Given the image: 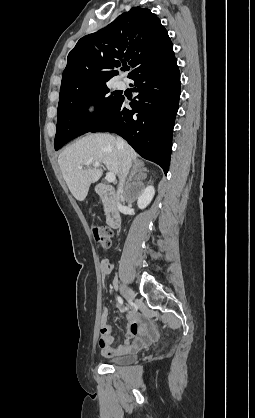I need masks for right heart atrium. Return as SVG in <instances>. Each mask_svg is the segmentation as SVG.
Wrapping results in <instances>:
<instances>
[{
  "mask_svg": "<svg viewBox=\"0 0 255 418\" xmlns=\"http://www.w3.org/2000/svg\"><path fill=\"white\" fill-rule=\"evenodd\" d=\"M98 110V103L95 100L89 101L85 106V113L88 116L94 115Z\"/></svg>",
  "mask_w": 255,
  "mask_h": 418,
  "instance_id": "obj_1",
  "label": "right heart atrium"
}]
</instances>
